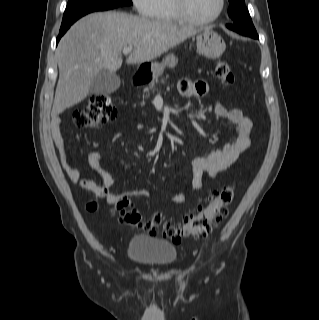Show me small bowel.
Masks as SVG:
<instances>
[{"label":"small bowel","instance_id":"small-bowel-1","mask_svg":"<svg viewBox=\"0 0 319 320\" xmlns=\"http://www.w3.org/2000/svg\"><path fill=\"white\" fill-rule=\"evenodd\" d=\"M179 91L180 94L185 97H201L207 93L208 86L204 81L192 82L187 79H182L179 82ZM213 111L215 116L225 119L234 126L236 137L223 148L212 150L192 159V181L187 190L179 192L170 198V202L173 204L184 203L190 191L200 190L205 182V173L208 178H212L231 167L240 154L248 149L251 144L252 121L244 116L240 109H227L221 103H217ZM51 133L62 168L73 183L79 185L84 190L90 191L97 197L105 198L109 205L115 204L122 198V195L109 192L114 184V180L103 168L102 164L105 157L101 152H92L88 155L90 167L102 181L101 184H98L92 179L83 177L81 171L72 163L60 130L59 118H53L51 120ZM130 194L136 197L149 198L152 196L153 191L150 189H140L131 191Z\"/></svg>","mask_w":319,"mask_h":320}]
</instances>
